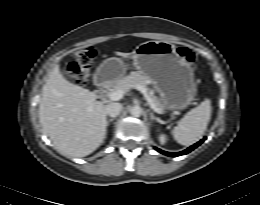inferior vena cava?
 I'll list each match as a JSON object with an SVG mask.
<instances>
[{"instance_id":"inferior-vena-cava-1","label":"inferior vena cava","mask_w":260,"mask_h":205,"mask_svg":"<svg viewBox=\"0 0 260 205\" xmlns=\"http://www.w3.org/2000/svg\"><path fill=\"white\" fill-rule=\"evenodd\" d=\"M122 105L120 103H110L106 106V114L111 117H116L120 114Z\"/></svg>"}]
</instances>
